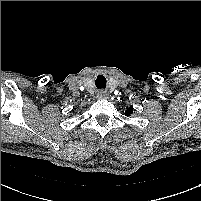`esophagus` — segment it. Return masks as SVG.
I'll list each match as a JSON object with an SVG mask.
<instances>
[{
  "mask_svg": "<svg viewBox=\"0 0 201 201\" xmlns=\"http://www.w3.org/2000/svg\"><path fill=\"white\" fill-rule=\"evenodd\" d=\"M97 98L98 99H107L108 98V94L104 90H99L98 93H97Z\"/></svg>",
  "mask_w": 201,
  "mask_h": 201,
  "instance_id": "34e87169",
  "label": "esophagus"
}]
</instances>
